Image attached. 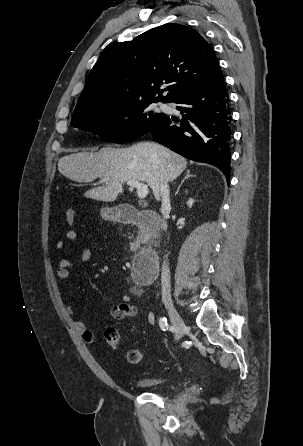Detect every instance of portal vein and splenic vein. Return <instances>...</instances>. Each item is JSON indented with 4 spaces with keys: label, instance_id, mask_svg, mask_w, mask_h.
I'll use <instances>...</instances> for the list:
<instances>
[{
    "label": "portal vein and splenic vein",
    "instance_id": "portal-vein-and-splenic-vein-1",
    "mask_svg": "<svg viewBox=\"0 0 303 446\" xmlns=\"http://www.w3.org/2000/svg\"><path fill=\"white\" fill-rule=\"evenodd\" d=\"M108 180H109V178H103L104 182L108 181ZM127 185L137 189V195L140 199H144L148 195L149 189H148V186L144 183H140V182L134 181V180H128Z\"/></svg>",
    "mask_w": 303,
    "mask_h": 446
}]
</instances>
